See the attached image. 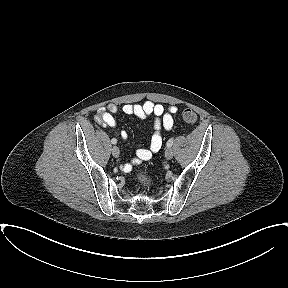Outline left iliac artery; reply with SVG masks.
<instances>
[{"instance_id": "1", "label": "left iliac artery", "mask_w": 288, "mask_h": 288, "mask_svg": "<svg viewBox=\"0 0 288 288\" xmlns=\"http://www.w3.org/2000/svg\"><path fill=\"white\" fill-rule=\"evenodd\" d=\"M173 141H174L173 138H170V139L167 141V147H168V148L173 145Z\"/></svg>"}]
</instances>
